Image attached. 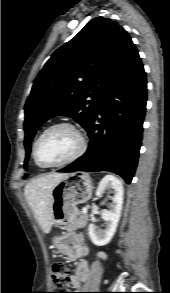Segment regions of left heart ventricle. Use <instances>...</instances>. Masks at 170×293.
Wrapping results in <instances>:
<instances>
[{
  "instance_id": "obj_1",
  "label": "left heart ventricle",
  "mask_w": 170,
  "mask_h": 293,
  "mask_svg": "<svg viewBox=\"0 0 170 293\" xmlns=\"http://www.w3.org/2000/svg\"><path fill=\"white\" fill-rule=\"evenodd\" d=\"M80 147V141L75 132L60 127L48 132L38 146V157L46 164H54L68 159Z\"/></svg>"
}]
</instances>
